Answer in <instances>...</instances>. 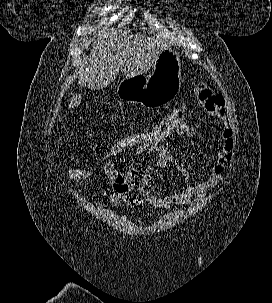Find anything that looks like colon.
Returning a JSON list of instances; mask_svg holds the SVG:
<instances>
[{
  "label": "colon",
  "instance_id": "5ec220e1",
  "mask_svg": "<svg viewBox=\"0 0 272 303\" xmlns=\"http://www.w3.org/2000/svg\"><path fill=\"white\" fill-rule=\"evenodd\" d=\"M188 123L185 116V106L177 105L167 111L156 123L137 131L125 133L118 137L109 147L100 162L92 164H83L77 166H66L58 156V164L61 172L68 179L76 182L87 180L93 177L98 170L104 174L113 172L116 167L113 162V157L121 153L143 148H152L162 144L179 132L188 128ZM150 178H146L147 185ZM142 188L130 192L128 194H114L113 202L123 206H135L142 203L147 198V193Z\"/></svg>",
  "mask_w": 272,
  "mask_h": 303
}]
</instances>
